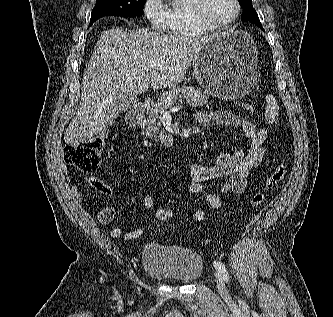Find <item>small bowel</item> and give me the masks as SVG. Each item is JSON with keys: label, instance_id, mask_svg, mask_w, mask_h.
Instances as JSON below:
<instances>
[{"label": "small bowel", "instance_id": "obj_1", "mask_svg": "<svg viewBox=\"0 0 333 317\" xmlns=\"http://www.w3.org/2000/svg\"><path fill=\"white\" fill-rule=\"evenodd\" d=\"M195 119L200 124L213 122L238 129L246 141L242 147L222 150L210 163L196 162L191 165L189 191L200 196L212 208L219 209L223 206L227 194L242 195L246 192L249 175L264 158L267 130L256 126L247 117L226 110L198 112ZM216 180L221 181L218 187L215 190H209L206 184ZM89 182L102 194L109 195L112 192L111 188L96 176L90 177ZM133 190L138 191L135 188ZM68 192L75 203L83 200L82 192L75 185H70ZM142 207L146 211L153 210L154 202L151 196H142ZM115 214V207L108 205L97 213V219L101 224L106 225L113 221ZM194 218L197 222H202L206 218V212L200 205L195 208ZM144 231L145 225L141 222L136 229L126 233H123L120 227H115L110 231V236L133 240L140 237Z\"/></svg>", "mask_w": 333, "mask_h": 317}]
</instances>
